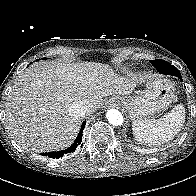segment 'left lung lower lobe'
I'll list each match as a JSON object with an SVG mask.
<instances>
[{"label":"left lung lower lobe","instance_id":"obj_1","mask_svg":"<svg viewBox=\"0 0 196 196\" xmlns=\"http://www.w3.org/2000/svg\"><path fill=\"white\" fill-rule=\"evenodd\" d=\"M176 77H178V78L182 79L180 74L176 75Z\"/></svg>","mask_w":196,"mask_h":196}]
</instances>
